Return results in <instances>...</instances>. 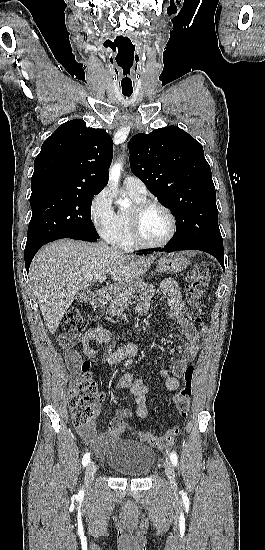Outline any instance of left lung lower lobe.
<instances>
[{
	"label": "left lung lower lobe",
	"instance_id": "1",
	"mask_svg": "<svg viewBox=\"0 0 265 550\" xmlns=\"http://www.w3.org/2000/svg\"><path fill=\"white\" fill-rule=\"evenodd\" d=\"M154 250H155L156 252L159 251V252H165V253H170V252L180 251V250H200V251L209 253L210 255L214 256V257L219 261V263L221 264L222 268L224 269V252H223V253H220V252L212 251V250L205 249V248H194V247L176 246V245H173V244H171V243H169L168 245H166L164 248L152 249V252H153ZM147 253H150V252L143 251V253H140V254H147Z\"/></svg>",
	"mask_w": 265,
	"mask_h": 550
}]
</instances>
